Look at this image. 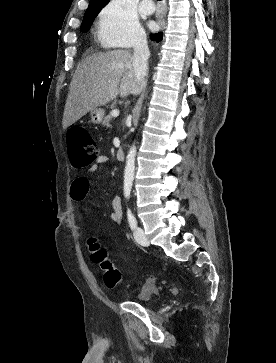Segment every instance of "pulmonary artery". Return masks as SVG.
Segmentation results:
<instances>
[{
    "instance_id": "pulmonary-artery-1",
    "label": "pulmonary artery",
    "mask_w": 276,
    "mask_h": 363,
    "mask_svg": "<svg viewBox=\"0 0 276 363\" xmlns=\"http://www.w3.org/2000/svg\"><path fill=\"white\" fill-rule=\"evenodd\" d=\"M140 9L144 14H152L154 11V5L150 0H143L140 3Z\"/></svg>"
}]
</instances>
